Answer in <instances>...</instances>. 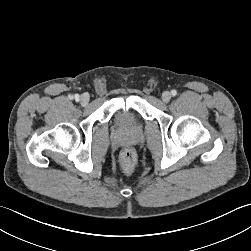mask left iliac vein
I'll use <instances>...</instances> for the list:
<instances>
[{
    "mask_svg": "<svg viewBox=\"0 0 251 251\" xmlns=\"http://www.w3.org/2000/svg\"><path fill=\"white\" fill-rule=\"evenodd\" d=\"M170 99H171V93L168 92V91H164L162 93V100H163V102L167 103V102L170 101Z\"/></svg>",
    "mask_w": 251,
    "mask_h": 251,
    "instance_id": "4c4485c4",
    "label": "left iliac vein"
}]
</instances>
